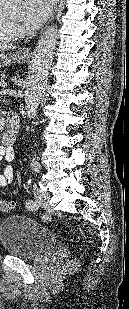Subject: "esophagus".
I'll list each match as a JSON object with an SVG mask.
<instances>
[{
	"label": "esophagus",
	"instance_id": "esophagus-1",
	"mask_svg": "<svg viewBox=\"0 0 129 309\" xmlns=\"http://www.w3.org/2000/svg\"><path fill=\"white\" fill-rule=\"evenodd\" d=\"M59 3H60V0H55L54 7H53V12H52L50 21L52 20V18L54 17L55 13L57 12L58 7H59ZM30 52H31V48H26V49H24L22 51V53L25 54V55L30 54Z\"/></svg>",
	"mask_w": 129,
	"mask_h": 309
}]
</instances>
